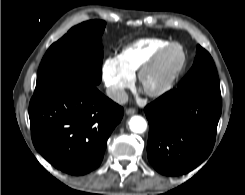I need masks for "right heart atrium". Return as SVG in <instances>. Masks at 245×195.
I'll use <instances>...</instances> for the list:
<instances>
[{
  "label": "right heart atrium",
  "mask_w": 245,
  "mask_h": 195,
  "mask_svg": "<svg viewBox=\"0 0 245 195\" xmlns=\"http://www.w3.org/2000/svg\"><path fill=\"white\" fill-rule=\"evenodd\" d=\"M101 77L109 98L117 103L122 102L126 90L133 83V77L122 68L117 57H108L103 61Z\"/></svg>",
  "instance_id": "d8ad5b80"
}]
</instances>
